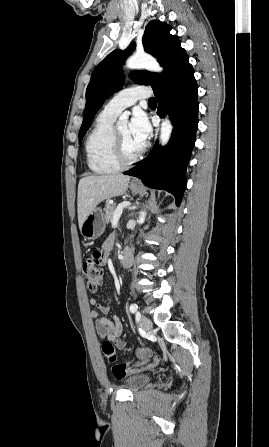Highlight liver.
Instances as JSON below:
<instances>
[{
	"label": "liver",
	"mask_w": 269,
	"mask_h": 447,
	"mask_svg": "<svg viewBox=\"0 0 269 447\" xmlns=\"http://www.w3.org/2000/svg\"><path fill=\"white\" fill-rule=\"evenodd\" d=\"M130 176L114 174V176H86L78 184V224L82 227L84 220L92 210L108 198L125 194Z\"/></svg>",
	"instance_id": "1"
}]
</instances>
